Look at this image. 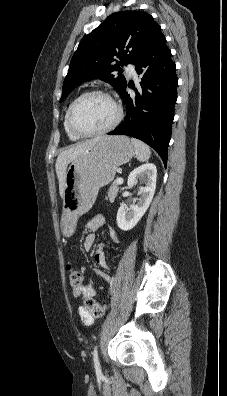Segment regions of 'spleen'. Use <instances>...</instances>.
<instances>
[{
	"mask_svg": "<svg viewBox=\"0 0 227 396\" xmlns=\"http://www.w3.org/2000/svg\"><path fill=\"white\" fill-rule=\"evenodd\" d=\"M131 142L135 149V155L140 162H145L150 158V148L140 140L135 138L131 139Z\"/></svg>",
	"mask_w": 227,
	"mask_h": 396,
	"instance_id": "3e777b00",
	"label": "spleen"
}]
</instances>
